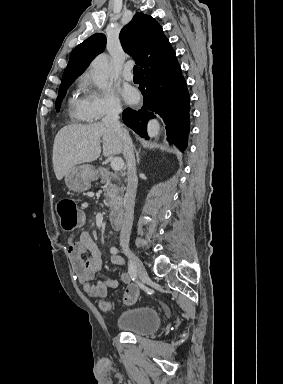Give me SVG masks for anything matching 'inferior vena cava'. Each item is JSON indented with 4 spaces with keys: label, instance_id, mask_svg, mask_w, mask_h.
<instances>
[{
    "label": "inferior vena cava",
    "instance_id": "inferior-vena-cava-1",
    "mask_svg": "<svg viewBox=\"0 0 283 384\" xmlns=\"http://www.w3.org/2000/svg\"><path fill=\"white\" fill-rule=\"evenodd\" d=\"M121 104H110L105 118H103V124L116 128L119 138L123 144V156L127 162V190L124 198V216L123 224L120 232V246L122 248H128L132 222L133 212L137 188V176H136V162L134 158L133 146L129 132L123 128L119 122V114H121Z\"/></svg>",
    "mask_w": 283,
    "mask_h": 384
}]
</instances>
